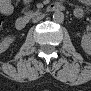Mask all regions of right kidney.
<instances>
[{"label":"right kidney","instance_id":"right-kidney-1","mask_svg":"<svg viewBox=\"0 0 91 91\" xmlns=\"http://www.w3.org/2000/svg\"><path fill=\"white\" fill-rule=\"evenodd\" d=\"M14 40V36L4 38L0 43L1 52H5L9 48L10 44L14 42Z\"/></svg>","mask_w":91,"mask_h":91}]
</instances>
